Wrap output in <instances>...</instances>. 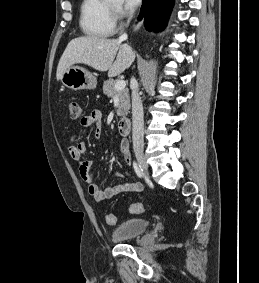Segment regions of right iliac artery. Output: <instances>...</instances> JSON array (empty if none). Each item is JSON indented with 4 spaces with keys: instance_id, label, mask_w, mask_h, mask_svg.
<instances>
[{
    "instance_id": "1",
    "label": "right iliac artery",
    "mask_w": 259,
    "mask_h": 283,
    "mask_svg": "<svg viewBox=\"0 0 259 283\" xmlns=\"http://www.w3.org/2000/svg\"><path fill=\"white\" fill-rule=\"evenodd\" d=\"M133 167H134V170H135L136 174L138 175V177L142 178L144 176V172H143V169L141 168V166L134 161Z\"/></svg>"
}]
</instances>
